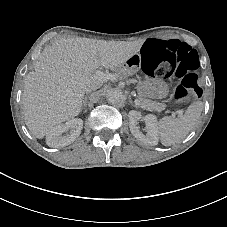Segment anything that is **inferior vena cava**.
Segmentation results:
<instances>
[{
	"instance_id": "1",
	"label": "inferior vena cava",
	"mask_w": 227,
	"mask_h": 227,
	"mask_svg": "<svg viewBox=\"0 0 227 227\" xmlns=\"http://www.w3.org/2000/svg\"><path fill=\"white\" fill-rule=\"evenodd\" d=\"M99 88H100V84H94V83H92V84H90V85L87 86L86 93H91L92 91H95V90H97Z\"/></svg>"
}]
</instances>
